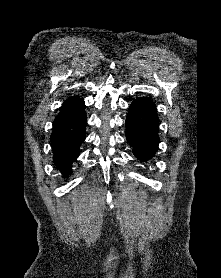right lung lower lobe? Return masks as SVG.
<instances>
[{"label":"right lung lower lobe","instance_id":"obj_1","mask_svg":"<svg viewBox=\"0 0 221 278\" xmlns=\"http://www.w3.org/2000/svg\"><path fill=\"white\" fill-rule=\"evenodd\" d=\"M86 112L53 127L50 142L53 150V163L64 177L71 173V165L79 156V147L85 140Z\"/></svg>","mask_w":221,"mask_h":278}]
</instances>
